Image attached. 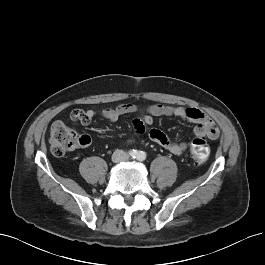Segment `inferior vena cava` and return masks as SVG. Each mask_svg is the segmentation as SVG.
I'll return each instance as SVG.
<instances>
[{"label": "inferior vena cava", "mask_w": 265, "mask_h": 265, "mask_svg": "<svg viewBox=\"0 0 265 265\" xmlns=\"http://www.w3.org/2000/svg\"><path fill=\"white\" fill-rule=\"evenodd\" d=\"M127 158H128V155L123 150H116L112 156V159L114 162H120V161L126 160Z\"/></svg>", "instance_id": "1"}]
</instances>
